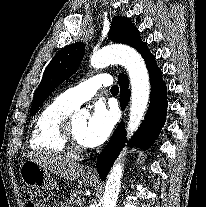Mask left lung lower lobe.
I'll return each mask as SVG.
<instances>
[{
    "label": "left lung lower lobe",
    "instance_id": "left-lung-lower-lobe-1",
    "mask_svg": "<svg viewBox=\"0 0 206 207\" xmlns=\"http://www.w3.org/2000/svg\"><path fill=\"white\" fill-rule=\"evenodd\" d=\"M141 55L146 62L150 76L151 99L145 120L130 141V146L138 145L147 147L157 138L166 121L167 88L162 80L161 71L155 62V56L151 54L148 48L145 49ZM118 82L120 85L121 107L124 109L130 98V90L128 89L129 81L126 75L121 74L119 75ZM125 136L126 132L121 123L112 135L108 144L100 153L97 160V170L102 180H105L113 162L124 146Z\"/></svg>",
    "mask_w": 206,
    "mask_h": 207
}]
</instances>
